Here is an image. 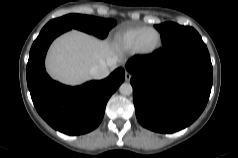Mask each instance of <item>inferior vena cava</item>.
Returning a JSON list of instances; mask_svg holds the SVG:
<instances>
[{"label": "inferior vena cava", "instance_id": "602c4592", "mask_svg": "<svg viewBox=\"0 0 238 158\" xmlns=\"http://www.w3.org/2000/svg\"><path fill=\"white\" fill-rule=\"evenodd\" d=\"M89 73L95 79H103L110 74V70L108 66L104 63L92 67Z\"/></svg>", "mask_w": 238, "mask_h": 158}]
</instances>
